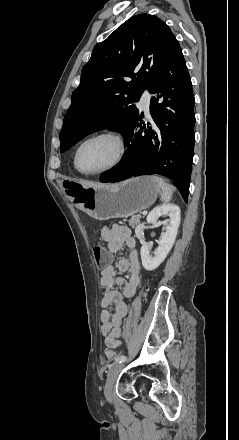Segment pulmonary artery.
Listing matches in <instances>:
<instances>
[{"label":"pulmonary artery","mask_w":239,"mask_h":440,"mask_svg":"<svg viewBox=\"0 0 239 440\" xmlns=\"http://www.w3.org/2000/svg\"><path fill=\"white\" fill-rule=\"evenodd\" d=\"M150 100H151V95L148 92H145L141 96L139 106L146 114H149Z\"/></svg>","instance_id":"1"}]
</instances>
